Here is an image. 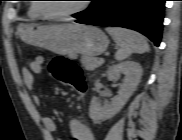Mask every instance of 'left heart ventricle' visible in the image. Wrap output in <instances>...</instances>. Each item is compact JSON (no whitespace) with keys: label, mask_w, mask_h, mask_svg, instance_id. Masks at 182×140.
I'll list each match as a JSON object with an SVG mask.
<instances>
[{"label":"left heart ventricle","mask_w":182,"mask_h":140,"mask_svg":"<svg viewBox=\"0 0 182 140\" xmlns=\"http://www.w3.org/2000/svg\"><path fill=\"white\" fill-rule=\"evenodd\" d=\"M81 1L78 0H49L41 5L46 13H63L72 11L80 7Z\"/></svg>","instance_id":"1"}]
</instances>
